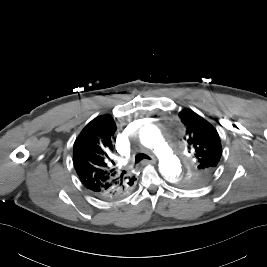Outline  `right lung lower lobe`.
<instances>
[{
  "label": "right lung lower lobe",
  "mask_w": 267,
  "mask_h": 267,
  "mask_svg": "<svg viewBox=\"0 0 267 267\" xmlns=\"http://www.w3.org/2000/svg\"><path fill=\"white\" fill-rule=\"evenodd\" d=\"M133 184H134V182L132 184H130L129 186L124 188V191L126 192V194H124L122 192V193H117V194L113 193L111 196H108V197H103V196H98V197L106 199V200H117V199H120V198L126 196L131 191V188H132Z\"/></svg>",
  "instance_id": "right-lung-lower-lobe-1"
}]
</instances>
